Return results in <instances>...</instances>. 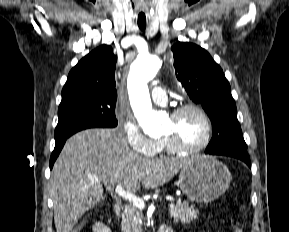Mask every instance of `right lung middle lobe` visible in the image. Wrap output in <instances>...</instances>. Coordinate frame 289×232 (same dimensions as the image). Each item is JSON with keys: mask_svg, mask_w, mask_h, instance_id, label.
I'll return each mask as SVG.
<instances>
[{"mask_svg": "<svg viewBox=\"0 0 289 232\" xmlns=\"http://www.w3.org/2000/svg\"><path fill=\"white\" fill-rule=\"evenodd\" d=\"M116 99L103 96L75 98L61 103L55 141L67 139L72 134L88 128H112L118 122L115 116Z\"/></svg>", "mask_w": 289, "mask_h": 232, "instance_id": "right-lung-middle-lobe-1", "label": "right lung middle lobe"}]
</instances>
